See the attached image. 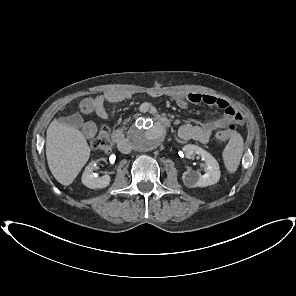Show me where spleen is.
<instances>
[{"label":"spleen","mask_w":296,"mask_h":296,"mask_svg":"<svg viewBox=\"0 0 296 296\" xmlns=\"http://www.w3.org/2000/svg\"><path fill=\"white\" fill-rule=\"evenodd\" d=\"M243 150L244 141L242 136L238 132H233L222 154L225 167L230 173H234L237 170Z\"/></svg>","instance_id":"obj_1"}]
</instances>
